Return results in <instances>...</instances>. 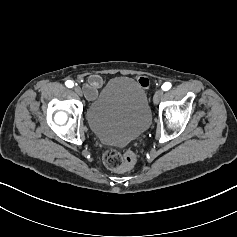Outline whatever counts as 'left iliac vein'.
Instances as JSON below:
<instances>
[{
  "mask_svg": "<svg viewBox=\"0 0 237 237\" xmlns=\"http://www.w3.org/2000/svg\"><path fill=\"white\" fill-rule=\"evenodd\" d=\"M163 95H164L163 90L158 89L154 94V99H153L154 103L157 104L160 101V99L163 97Z\"/></svg>",
  "mask_w": 237,
  "mask_h": 237,
  "instance_id": "obj_1",
  "label": "left iliac vein"
}]
</instances>
